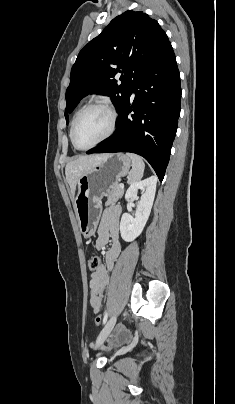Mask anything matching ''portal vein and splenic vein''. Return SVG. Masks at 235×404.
<instances>
[{"mask_svg": "<svg viewBox=\"0 0 235 404\" xmlns=\"http://www.w3.org/2000/svg\"><path fill=\"white\" fill-rule=\"evenodd\" d=\"M119 186H120V188H122V189L124 188V184H120Z\"/></svg>", "mask_w": 235, "mask_h": 404, "instance_id": "18ae733b", "label": "portal vein and splenic vein"}]
</instances>
